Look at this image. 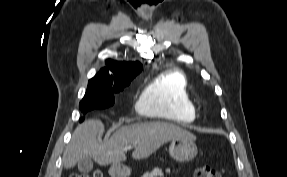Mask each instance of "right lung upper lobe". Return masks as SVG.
I'll list each match as a JSON object with an SVG mask.
<instances>
[{
    "label": "right lung upper lobe",
    "instance_id": "1",
    "mask_svg": "<svg viewBox=\"0 0 287 177\" xmlns=\"http://www.w3.org/2000/svg\"><path fill=\"white\" fill-rule=\"evenodd\" d=\"M141 70L142 65L139 62H118L108 59L106 67L89 81L103 86H115L131 82Z\"/></svg>",
    "mask_w": 287,
    "mask_h": 177
}]
</instances>
